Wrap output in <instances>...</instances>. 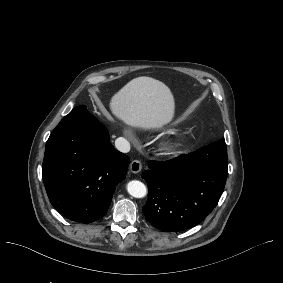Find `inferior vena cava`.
<instances>
[{
  "label": "inferior vena cava",
  "mask_w": 283,
  "mask_h": 283,
  "mask_svg": "<svg viewBox=\"0 0 283 283\" xmlns=\"http://www.w3.org/2000/svg\"><path fill=\"white\" fill-rule=\"evenodd\" d=\"M115 147H116L120 152H123V153H127V152L130 151V143H129L126 139H124V138H122V137L117 138V139L115 140Z\"/></svg>",
  "instance_id": "1"
}]
</instances>
